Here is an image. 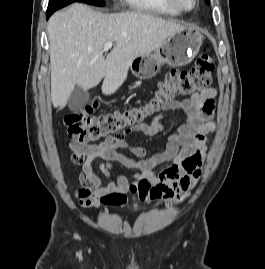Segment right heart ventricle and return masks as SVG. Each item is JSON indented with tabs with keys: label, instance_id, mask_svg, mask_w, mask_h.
I'll use <instances>...</instances> for the list:
<instances>
[{
	"label": "right heart ventricle",
	"instance_id": "right-heart-ventricle-1",
	"mask_svg": "<svg viewBox=\"0 0 265 269\" xmlns=\"http://www.w3.org/2000/svg\"><path fill=\"white\" fill-rule=\"evenodd\" d=\"M130 8L148 13L179 15L181 12L164 2V0H123Z\"/></svg>",
	"mask_w": 265,
	"mask_h": 269
}]
</instances>
